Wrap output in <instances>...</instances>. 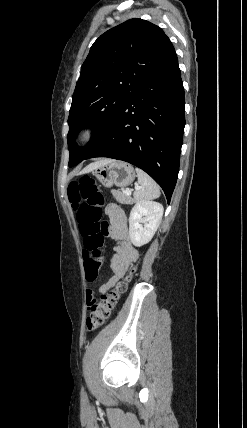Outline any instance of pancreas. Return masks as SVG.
Segmentation results:
<instances>
[{
	"label": "pancreas",
	"instance_id": "pancreas-1",
	"mask_svg": "<svg viewBox=\"0 0 247 428\" xmlns=\"http://www.w3.org/2000/svg\"><path fill=\"white\" fill-rule=\"evenodd\" d=\"M111 192L114 198L121 204L135 203V200L131 196L125 195L123 192L119 190H112Z\"/></svg>",
	"mask_w": 247,
	"mask_h": 428
}]
</instances>
